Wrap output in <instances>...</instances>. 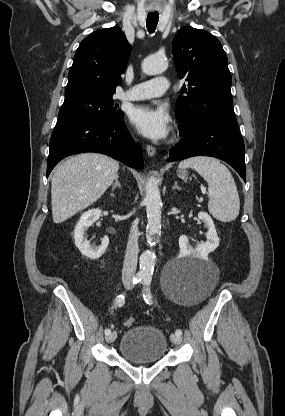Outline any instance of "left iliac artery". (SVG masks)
Segmentation results:
<instances>
[{
    "instance_id": "44dca946",
    "label": "left iliac artery",
    "mask_w": 285,
    "mask_h": 416,
    "mask_svg": "<svg viewBox=\"0 0 285 416\" xmlns=\"http://www.w3.org/2000/svg\"><path fill=\"white\" fill-rule=\"evenodd\" d=\"M142 283H143L145 294H146L144 295V300L147 304L151 305L152 304V294L150 292L151 275L150 274L144 275ZM175 334L181 336L182 330L177 329Z\"/></svg>"
}]
</instances>
